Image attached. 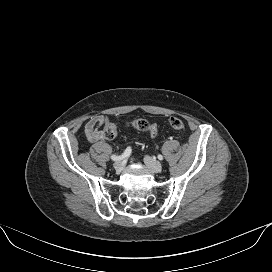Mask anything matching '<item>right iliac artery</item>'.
Returning a JSON list of instances; mask_svg holds the SVG:
<instances>
[{"label":"right iliac artery","instance_id":"1","mask_svg":"<svg viewBox=\"0 0 272 272\" xmlns=\"http://www.w3.org/2000/svg\"><path fill=\"white\" fill-rule=\"evenodd\" d=\"M130 154H131V148L127 147L126 150L120 156L112 155L111 159L114 161L123 160L125 158H128Z\"/></svg>","mask_w":272,"mask_h":272}]
</instances>
